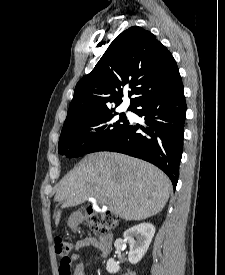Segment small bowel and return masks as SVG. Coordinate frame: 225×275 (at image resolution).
Returning <instances> with one entry per match:
<instances>
[{
  "label": "small bowel",
  "instance_id": "small-bowel-1",
  "mask_svg": "<svg viewBox=\"0 0 225 275\" xmlns=\"http://www.w3.org/2000/svg\"><path fill=\"white\" fill-rule=\"evenodd\" d=\"M87 247H92L100 251L99 240L95 237H85L76 241L75 252L69 257L70 262L73 265L75 275H82V263H81V251Z\"/></svg>",
  "mask_w": 225,
  "mask_h": 275
}]
</instances>
